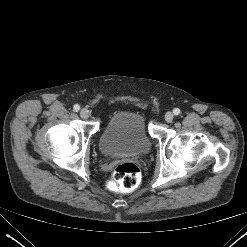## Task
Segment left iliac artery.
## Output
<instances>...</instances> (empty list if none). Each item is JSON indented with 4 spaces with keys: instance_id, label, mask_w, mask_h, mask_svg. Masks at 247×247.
Instances as JSON below:
<instances>
[{
    "instance_id": "obj_1",
    "label": "left iliac artery",
    "mask_w": 247,
    "mask_h": 247,
    "mask_svg": "<svg viewBox=\"0 0 247 247\" xmlns=\"http://www.w3.org/2000/svg\"><path fill=\"white\" fill-rule=\"evenodd\" d=\"M173 113H174L175 115H179V114H180V109H179V108H175V109L173 110Z\"/></svg>"
}]
</instances>
